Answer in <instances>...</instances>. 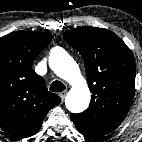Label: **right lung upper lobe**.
Here are the masks:
<instances>
[{
	"label": "right lung upper lobe",
	"mask_w": 142,
	"mask_h": 142,
	"mask_svg": "<svg viewBox=\"0 0 142 142\" xmlns=\"http://www.w3.org/2000/svg\"><path fill=\"white\" fill-rule=\"evenodd\" d=\"M51 39L52 35L36 31H15L0 38V127L17 140L36 134L48 111L61 102L32 69Z\"/></svg>",
	"instance_id": "obj_1"
}]
</instances>
